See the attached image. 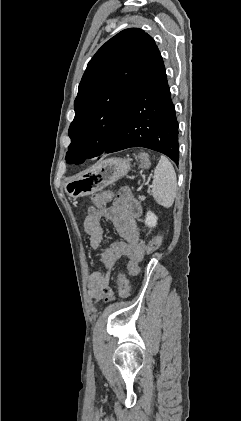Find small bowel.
<instances>
[{
	"mask_svg": "<svg viewBox=\"0 0 241 421\" xmlns=\"http://www.w3.org/2000/svg\"><path fill=\"white\" fill-rule=\"evenodd\" d=\"M142 213L140 203L133 197L128 187L120 188L113 204L107 208L91 207L84 220V229L89 236L90 246L98 250L103 241V220L113 223L120 241L101 249V262L105 271H94L89 277V292L95 302H110L115 294L110 288L111 270L116 262L127 257L129 260L140 261L145 252V245L140 239L137 219Z\"/></svg>",
	"mask_w": 241,
	"mask_h": 421,
	"instance_id": "obj_1",
	"label": "small bowel"
}]
</instances>
